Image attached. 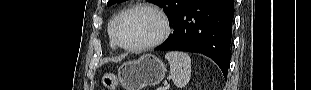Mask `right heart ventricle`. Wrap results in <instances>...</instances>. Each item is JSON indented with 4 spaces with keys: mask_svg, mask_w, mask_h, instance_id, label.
Returning a JSON list of instances; mask_svg holds the SVG:
<instances>
[{
    "mask_svg": "<svg viewBox=\"0 0 311 90\" xmlns=\"http://www.w3.org/2000/svg\"><path fill=\"white\" fill-rule=\"evenodd\" d=\"M123 11H119L117 14H115L111 21L109 22V25H108V36H109V43H110V46L111 48L115 49L116 48V44L114 42V38H113V28H114V24L118 18V16L122 13Z\"/></svg>",
    "mask_w": 311,
    "mask_h": 90,
    "instance_id": "1",
    "label": "right heart ventricle"
}]
</instances>
